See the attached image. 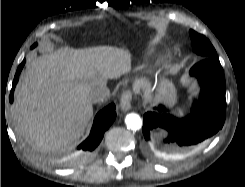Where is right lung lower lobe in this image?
<instances>
[{"label":"right lung lower lobe","instance_id":"obj_1","mask_svg":"<svg viewBox=\"0 0 245 187\" xmlns=\"http://www.w3.org/2000/svg\"><path fill=\"white\" fill-rule=\"evenodd\" d=\"M24 64H25V60H23V62L19 65L16 71L13 80L12 90L10 92V97H9L11 103L13 102L14 89L16 83L18 82L19 74ZM115 118H116V113H115L114 104L107 106L96 115L89 137L78 146V150H80L78 155L79 160L88 159L92 155L93 151L97 148V146L101 142L104 136V132L110 127V125L113 123Z\"/></svg>","mask_w":245,"mask_h":187}]
</instances>
